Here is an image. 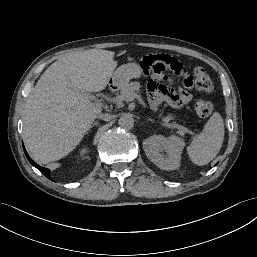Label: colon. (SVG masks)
<instances>
[{
    "instance_id": "obj_1",
    "label": "colon",
    "mask_w": 257,
    "mask_h": 257,
    "mask_svg": "<svg viewBox=\"0 0 257 257\" xmlns=\"http://www.w3.org/2000/svg\"><path fill=\"white\" fill-rule=\"evenodd\" d=\"M144 59L145 57L143 58V61ZM143 61L141 62V67ZM191 76L194 78L195 89L197 91L210 93L213 90V82L204 68L196 67ZM195 111L199 117L208 118L213 111V104L209 100L200 99L195 103Z\"/></svg>"
}]
</instances>
